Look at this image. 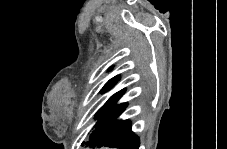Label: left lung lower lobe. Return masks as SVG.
<instances>
[{"label":"left lung lower lobe","mask_w":227,"mask_h":149,"mask_svg":"<svg viewBox=\"0 0 227 149\" xmlns=\"http://www.w3.org/2000/svg\"><path fill=\"white\" fill-rule=\"evenodd\" d=\"M127 103H121L114 108L95 126L89 136V140L83 145L89 147H116L121 149H138L139 137L131 130V122L128 120H118L123 113Z\"/></svg>","instance_id":"obj_1"}]
</instances>
